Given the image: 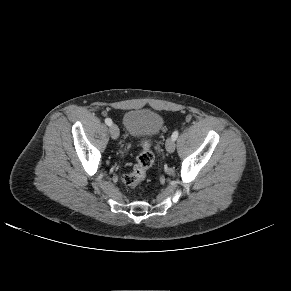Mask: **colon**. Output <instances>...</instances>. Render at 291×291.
Wrapping results in <instances>:
<instances>
[{
    "instance_id": "obj_1",
    "label": "colon",
    "mask_w": 291,
    "mask_h": 291,
    "mask_svg": "<svg viewBox=\"0 0 291 291\" xmlns=\"http://www.w3.org/2000/svg\"><path fill=\"white\" fill-rule=\"evenodd\" d=\"M142 150L137 156V161L132 170L122 177L123 184L128 188L138 186L147 175L148 169L154 162V155L151 151V143L148 139L141 141Z\"/></svg>"
}]
</instances>
